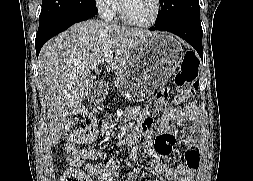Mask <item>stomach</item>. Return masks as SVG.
Listing matches in <instances>:
<instances>
[{
    "label": "stomach",
    "instance_id": "1",
    "mask_svg": "<svg viewBox=\"0 0 253 181\" xmlns=\"http://www.w3.org/2000/svg\"><path fill=\"white\" fill-rule=\"evenodd\" d=\"M181 44L171 35L154 34L131 51L116 74V87L133 102L143 101L167 82L183 62Z\"/></svg>",
    "mask_w": 253,
    "mask_h": 181
}]
</instances>
